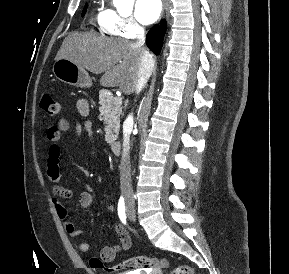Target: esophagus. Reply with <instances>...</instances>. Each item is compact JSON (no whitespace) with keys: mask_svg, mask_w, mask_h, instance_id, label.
Returning <instances> with one entry per match:
<instances>
[{"mask_svg":"<svg viewBox=\"0 0 289 274\" xmlns=\"http://www.w3.org/2000/svg\"><path fill=\"white\" fill-rule=\"evenodd\" d=\"M167 5H168V0H164V7H165V9H167Z\"/></svg>","mask_w":289,"mask_h":274,"instance_id":"34e87169","label":"esophagus"}]
</instances>
